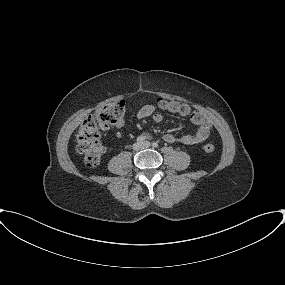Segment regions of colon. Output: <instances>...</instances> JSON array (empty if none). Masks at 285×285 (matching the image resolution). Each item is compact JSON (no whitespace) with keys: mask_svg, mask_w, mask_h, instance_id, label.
I'll use <instances>...</instances> for the list:
<instances>
[{"mask_svg":"<svg viewBox=\"0 0 285 285\" xmlns=\"http://www.w3.org/2000/svg\"><path fill=\"white\" fill-rule=\"evenodd\" d=\"M158 103L161 108L170 112L183 116L189 115L193 123H201L204 120L202 113L191 112L185 104L163 99H160ZM124 109L125 103L116 101L101 106L94 115H89L83 120L77 132L76 141L77 150L84 156L88 166H97L105 152V147L100 139V129L118 122L123 117ZM214 149L215 147L211 143L204 146V151L207 153H212Z\"/></svg>","mask_w":285,"mask_h":285,"instance_id":"5ec220e1","label":"colon"}]
</instances>
